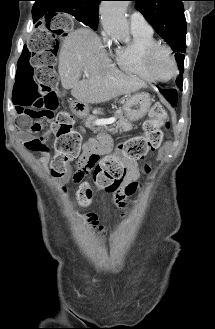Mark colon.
<instances>
[{
  "instance_id": "obj_1",
  "label": "colon",
  "mask_w": 215,
  "mask_h": 329,
  "mask_svg": "<svg viewBox=\"0 0 215 329\" xmlns=\"http://www.w3.org/2000/svg\"><path fill=\"white\" fill-rule=\"evenodd\" d=\"M38 25H32L29 31V41L22 55H15L18 81L13 82L12 102L16 103L18 114L27 122L21 130L38 134L40 124L30 123L32 120L49 118L53 120L52 131L55 134V154L50 162L53 177L62 178L67 174L68 165L76 159L80 152L81 135L72 129L73 118L67 111H57L58 101L55 87L59 75L55 73L54 64L58 49H61V38H67L68 32H76L71 14H43L38 19ZM169 121L165 107L155 103L149 113V119L143 125V135L133 137L120 144L116 153L101 157L91 154L81 160L73 175L75 182H80L90 175L96 187L108 192L119 190L126 176L124 160H139L157 149L162 141V130L168 128ZM32 147L47 149L48 146L40 138L31 142ZM144 169L149 170L145 165ZM92 186L83 182L80 184L77 198L79 204L86 207L92 199ZM125 196L131 194H124Z\"/></svg>"
}]
</instances>
